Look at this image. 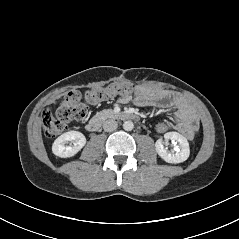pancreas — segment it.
<instances>
[{"instance_id":"cf45deb5","label":"pancreas","mask_w":239,"mask_h":239,"mask_svg":"<svg viewBox=\"0 0 239 239\" xmlns=\"http://www.w3.org/2000/svg\"><path fill=\"white\" fill-rule=\"evenodd\" d=\"M113 115H114V112L111 109L103 110V111L98 112L96 114L97 117H101V118L108 117V116H113Z\"/></svg>"}]
</instances>
